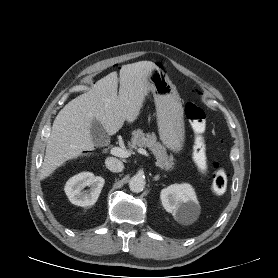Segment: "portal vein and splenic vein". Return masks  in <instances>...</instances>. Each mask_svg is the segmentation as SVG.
Wrapping results in <instances>:
<instances>
[{"instance_id":"portal-vein-and-splenic-vein-1","label":"portal vein and splenic vein","mask_w":278,"mask_h":278,"mask_svg":"<svg viewBox=\"0 0 278 278\" xmlns=\"http://www.w3.org/2000/svg\"><path fill=\"white\" fill-rule=\"evenodd\" d=\"M140 154L146 156V157H149V153L143 149V148H139L137 150ZM110 153L114 156H117V157H122V158H127V157H130L133 153L130 151V150H127V149H123V148H120V147H113L111 150H110Z\"/></svg>"}]
</instances>
